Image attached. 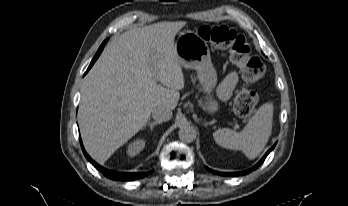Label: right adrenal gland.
<instances>
[{"instance_id":"2a0ac1e0","label":"right adrenal gland","mask_w":348,"mask_h":206,"mask_svg":"<svg viewBox=\"0 0 348 206\" xmlns=\"http://www.w3.org/2000/svg\"><path fill=\"white\" fill-rule=\"evenodd\" d=\"M160 124L158 121L148 122L145 126H149V129L152 131L154 126Z\"/></svg>"}]
</instances>
